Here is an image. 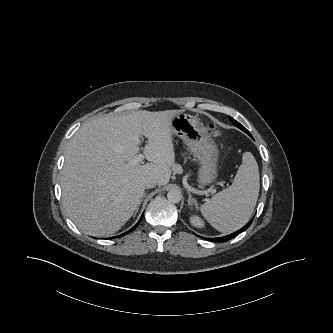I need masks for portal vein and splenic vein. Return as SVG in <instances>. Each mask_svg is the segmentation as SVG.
I'll return each instance as SVG.
<instances>
[{"label": "portal vein and splenic vein", "mask_w": 333, "mask_h": 333, "mask_svg": "<svg viewBox=\"0 0 333 333\" xmlns=\"http://www.w3.org/2000/svg\"><path fill=\"white\" fill-rule=\"evenodd\" d=\"M144 155L143 154H138V155H136L135 157H133L131 160H130V162H129V164L130 165H133V166H136V165H138L139 163H141L143 160H144Z\"/></svg>", "instance_id": "obj_1"}]
</instances>
